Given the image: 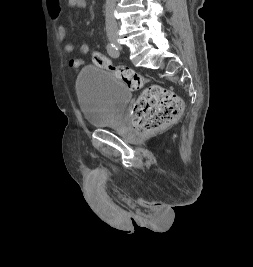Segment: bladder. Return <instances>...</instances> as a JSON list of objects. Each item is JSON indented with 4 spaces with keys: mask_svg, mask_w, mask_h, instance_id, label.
Listing matches in <instances>:
<instances>
[{
    "mask_svg": "<svg viewBox=\"0 0 253 267\" xmlns=\"http://www.w3.org/2000/svg\"><path fill=\"white\" fill-rule=\"evenodd\" d=\"M76 88L83 117L92 127L113 124L132 98L127 84L93 66L82 69Z\"/></svg>",
    "mask_w": 253,
    "mask_h": 267,
    "instance_id": "1",
    "label": "bladder"
}]
</instances>
